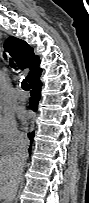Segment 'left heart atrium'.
<instances>
[{
	"label": "left heart atrium",
	"instance_id": "left-heart-atrium-1",
	"mask_svg": "<svg viewBox=\"0 0 89 203\" xmlns=\"http://www.w3.org/2000/svg\"><path fill=\"white\" fill-rule=\"evenodd\" d=\"M19 116L22 119V121H25L29 117L28 113L24 110L20 111Z\"/></svg>",
	"mask_w": 89,
	"mask_h": 203
}]
</instances>
